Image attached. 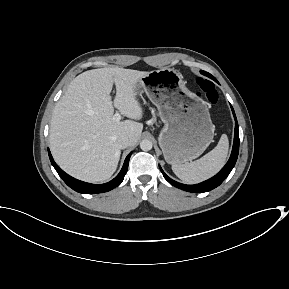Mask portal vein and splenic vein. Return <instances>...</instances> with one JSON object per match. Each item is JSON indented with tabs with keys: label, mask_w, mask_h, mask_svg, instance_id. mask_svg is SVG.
Masks as SVG:
<instances>
[{
	"label": "portal vein and splenic vein",
	"mask_w": 289,
	"mask_h": 289,
	"mask_svg": "<svg viewBox=\"0 0 289 289\" xmlns=\"http://www.w3.org/2000/svg\"><path fill=\"white\" fill-rule=\"evenodd\" d=\"M113 120L115 122H119L121 120V114L119 112H116L113 116Z\"/></svg>",
	"instance_id": "obj_1"
}]
</instances>
